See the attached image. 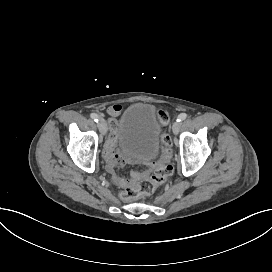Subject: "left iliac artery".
Wrapping results in <instances>:
<instances>
[{"label":"left iliac artery","mask_w":272,"mask_h":272,"mask_svg":"<svg viewBox=\"0 0 272 272\" xmlns=\"http://www.w3.org/2000/svg\"><path fill=\"white\" fill-rule=\"evenodd\" d=\"M187 118V114L186 113H181L178 118H177V122H181L183 120H185Z\"/></svg>","instance_id":"obj_1"}]
</instances>
